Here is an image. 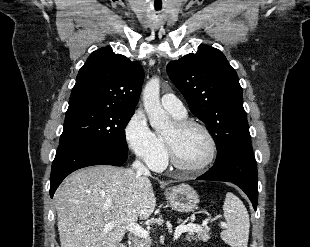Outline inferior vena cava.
<instances>
[{
	"label": "inferior vena cava",
	"instance_id": "602c4592",
	"mask_svg": "<svg viewBox=\"0 0 310 247\" xmlns=\"http://www.w3.org/2000/svg\"><path fill=\"white\" fill-rule=\"evenodd\" d=\"M132 168H134L139 174L143 173L145 175H149V170L144 166V164L140 160H135L132 164Z\"/></svg>",
	"mask_w": 310,
	"mask_h": 247
}]
</instances>
